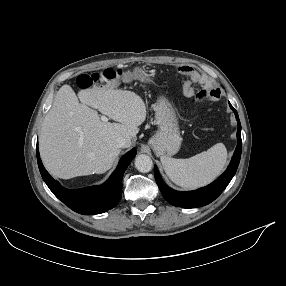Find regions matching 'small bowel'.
<instances>
[{
	"instance_id": "obj_1",
	"label": "small bowel",
	"mask_w": 286,
	"mask_h": 286,
	"mask_svg": "<svg viewBox=\"0 0 286 286\" xmlns=\"http://www.w3.org/2000/svg\"><path fill=\"white\" fill-rule=\"evenodd\" d=\"M180 72L182 74L186 75L192 82L200 83V84H203L206 86V89L200 91V92L204 93L205 95L206 94L209 95V97L206 98V100H216L219 97V95H220L219 89L209 87L208 80L203 74L195 71L192 67H189V66L182 67L180 69ZM184 93L187 97H191L194 94V89L190 83H187L185 85Z\"/></svg>"
}]
</instances>
